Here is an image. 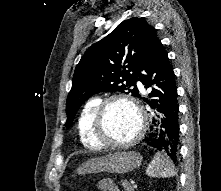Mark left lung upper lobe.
I'll return each mask as SVG.
<instances>
[{
  "mask_svg": "<svg viewBox=\"0 0 221 191\" xmlns=\"http://www.w3.org/2000/svg\"><path fill=\"white\" fill-rule=\"evenodd\" d=\"M155 38L152 26L133 17L89 47L75 68L66 103V127L80 106L96 93L122 92L140 97L136 81Z\"/></svg>",
  "mask_w": 221,
  "mask_h": 191,
  "instance_id": "left-lung-upper-lobe-1",
  "label": "left lung upper lobe"
}]
</instances>
